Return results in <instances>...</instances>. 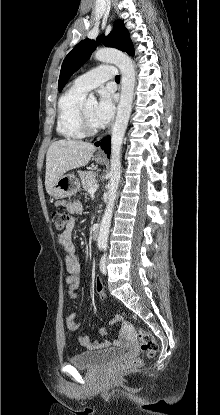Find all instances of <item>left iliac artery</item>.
<instances>
[{
    "instance_id": "1",
    "label": "left iliac artery",
    "mask_w": 220,
    "mask_h": 415,
    "mask_svg": "<svg viewBox=\"0 0 220 415\" xmlns=\"http://www.w3.org/2000/svg\"><path fill=\"white\" fill-rule=\"evenodd\" d=\"M102 248H103L104 250H106L107 246H106V245H102Z\"/></svg>"
}]
</instances>
